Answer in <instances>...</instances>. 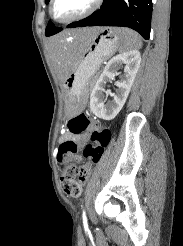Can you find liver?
Instances as JSON below:
<instances>
[{"label":"liver","instance_id":"1","mask_svg":"<svg viewBox=\"0 0 183 246\" xmlns=\"http://www.w3.org/2000/svg\"><path fill=\"white\" fill-rule=\"evenodd\" d=\"M99 29V27H94L65 31L49 42V52L61 82H64L71 74L75 60L74 52L66 48L64 39L67 35H73L80 40H91Z\"/></svg>","mask_w":183,"mask_h":246}]
</instances>
